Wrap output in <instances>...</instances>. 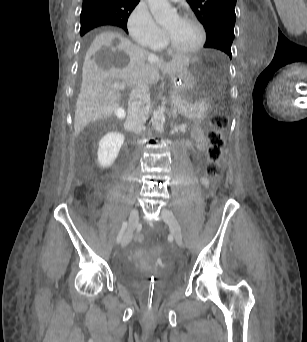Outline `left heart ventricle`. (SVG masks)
Returning <instances> with one entry per match:
<instances>
[{
  "label": "left heart ventricle",
  "mask_w": 307,
  "mask_h": 342,
  "mask_svg": "<svg viewBox=\"0 0 307 342\" xmlns=\"http://www.w3.org/2000/svg\"><path fill=\"white\" fill-rule=\"evenodd\" d=\"M163 34L171 48L186 50L194 47L200 39L198 27L191 22L180 21L179 18L171 21L162 28Z\"/></svg>",
  "instance_id": "1"
}]
</instances>
